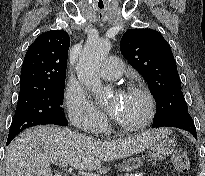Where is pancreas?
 Wrapping results in <instances>:
<instances>
[{"label": "pancreas", "instance_id": "obj_1", "mask_svg": "<svg viewBox=\"0 0 205 176\" xmlns=\"http://www.w3.org/2000/svg\"><path fill=\"white\" fill-rule=\"evenodd\" d=\"M125 176H139V175L126 174Z\"/></svg>", "mask_w": 205, "mask_h": 176}]
</instances>
